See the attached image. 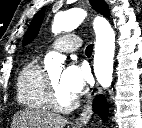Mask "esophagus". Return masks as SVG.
Masks as SVG:
<instances>
[{
    "mask_svg": "<svg viewBox=\"0 0 142 128\" xmlns=\"http://www.w3.org/2000/svg\"><path fill=\"white\" fill-rule=\"evenodd\" d=\"M101 92L102 90L98 82H96L95 86L92 88L91 92L88 94L87 102H86L83 112L80 114V116L75 121V125L77 128H82L87 125V123L89 122L93 114L92 102L97 95L101 94Z\"/></svg>",
    "mask_w": 142,
    "mask_h": 128,
    "instance_id": "obj_1",
    "label": "esophagus"
}]
</instances>
